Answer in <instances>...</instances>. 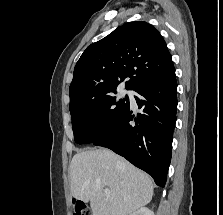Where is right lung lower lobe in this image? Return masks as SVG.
<instances>
[{
	"label": "right lung lower lobe",
	"mask_w": 223,
	"mask_h": 215,
	"mask_svg": "<svg viewBox=\"0 0 223 215\" xmlns=\"http://www.w3.org/2000/svg\"><path fill=\"white\" fill-rule=\"evenodd\" d=\"M135 91L140 95L135 99L143 113L135 117L129 105L121 120L92 144L124 156L150 174L157 185L164 187L178 103L175 71L163 79L142 84ZM132 120L135 124L129 123Z\"/></svg>",
	"instance_id": "98d812e1"
}]
</instances>
